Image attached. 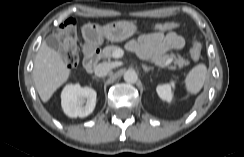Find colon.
Here are the masks:
<instances>
[{"mask_svg":"<svg viewBox=\"0 0 244 157\" xmlns=\"http://www.w3.org/2000/svg\"><path fill=\"white\" fill-rule=\"evenodd\" d=\"M176 22H164L154 25V30L157 32H165L178 28ZM55 37L59 42V53L64 59L67 66L74 68L79 61L77 51V22L75 19H69L61 24L55 31ZM190 55L192 59L197 60L201 56V45L193 38L191 41Z\"/></svg>","mask_w":244,"mask_h":157,"instance_id":"obj_1","label":"colon"}]
</instances>
